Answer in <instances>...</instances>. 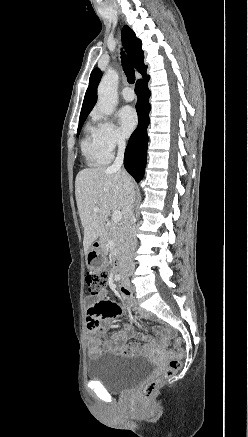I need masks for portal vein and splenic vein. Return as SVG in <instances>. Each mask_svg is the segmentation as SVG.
<instances>
[{
    "label": "portal vein and splenic vein",
    "mask_w": 248,
    "mask_h": 437,
    "mask_svg": "<svg viewBox=\"0 0 248 437\" xmlns=\"http://www.w3.org/2000/svg\"><path fill=\"white\" fill-rule=\"evenodd\" d=\"M93 210H94V211H98L99 208H98V207H95ZM121 218H122V214H121L120 210H115V211H113V214H112V221H113L114 224H115V223H118V222L121 220Z\"/></svg>",
    "instance_id": "portal-vein-and-splenic-vein-1"
}]
</instances>
